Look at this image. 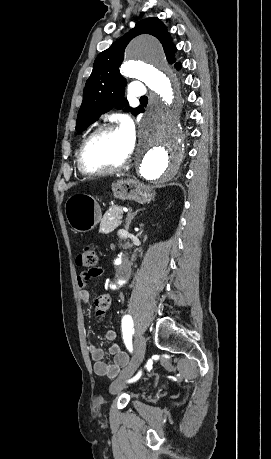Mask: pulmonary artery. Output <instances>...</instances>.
<instances>
[{"instance_id":"1","label":"pulmonary artery","mask_w":271,"mask_h":459,"mask_svg":"<svg viewBox=\"0 0 271 459\" xmlns=\"http://www.w3.org/2000/svg\"><path fill=\"white\" fill-rule=\"evenodd\" d=\"M130 88H133L131 95L134 98H145L146 97V90L143 87V83L141 81H136L134 83L129 84Z\"/></svg>"}]
</instances>
